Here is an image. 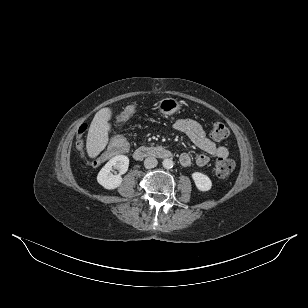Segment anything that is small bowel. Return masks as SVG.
<instances>
[{
  "instance_id": "small-bowel-1",
  "label": "small bowel",
  "mask_w": 308,
  "mask_h": 308,
  "mask_svg": "<svg viewBox=\"0 0 308 308\" xmlns=\"http://www.w3.org/2000/svg\"><path fill=\"white\" fill-rule=\"evenodd\" d=\"M174 128L184 133L192 144L203 151L196 157V164L203 167L208 164L209 156L227 157L228 149L224 146H218L211 141L205 134L201 124L192 119H179L174 123ZM179 161L181 165L188 166L191 164V156L188 153L181 154Z\"/></svg>"
}]
</instances>
